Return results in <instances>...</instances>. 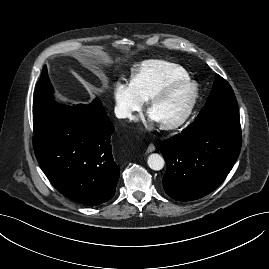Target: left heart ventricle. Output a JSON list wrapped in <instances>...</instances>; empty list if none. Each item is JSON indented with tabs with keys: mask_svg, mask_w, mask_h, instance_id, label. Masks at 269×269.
I'll return each mask as SVG.
<instances>
[{
	"mask_svg": "<svg viewBox=\"0 0 269 269\" xmlns=\"http://www.w3.org/2000/svg\"><path fill=\"white\" fill-rule=\"evenodd\" d=\"M188 97L187 89H179L152 107L149 114L160 124L174 121L182 114Z\"/></svg>",
	"mask_w": 269,
	"mask_h": 269,
	"instance_id": "1",
	"label": "left heart ventricle"
}]
</instances>
